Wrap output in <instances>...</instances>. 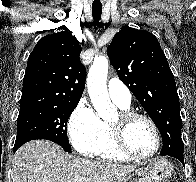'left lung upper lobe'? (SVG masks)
I'll use <instances>...</instances> for the list:
<instances>
[{"label":"left lung upper lobe","instance_id":"obj_1","mask_svg":"<svg viewBox=\"0 0 196 182\" xmlns=\"http://www.w3.org/2000/svg\"><path fill=\"white\" fill-rule=\"evenodd\" d=\"M110 63L161 133L165 152L183 154L182 120L174 75L157 38L123 27L107 48Z\"/></svg>","mask_w":196,"mask_h":182}]
</instances>
